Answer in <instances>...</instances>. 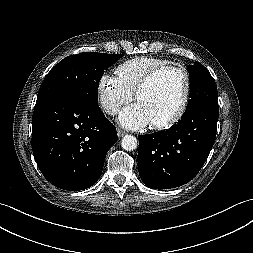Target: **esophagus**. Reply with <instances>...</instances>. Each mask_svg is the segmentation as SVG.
Segmentation results:
<instances>
[{"label":"esophagus","mask_w":253,"mask_h":253,"mask_svg":"<svg viewBox=\"0 0 253 253\" xmlns=\"http://www.w3.org/2000/svg\"><path fill=\"white\" fill-rule=\"evenodd\" d=\"M117 134H118V136L119 137H122V136H124L125 135V131H123V130H121V129H117Z\"/></svg>","instance_id":"1"}]
</instances>
